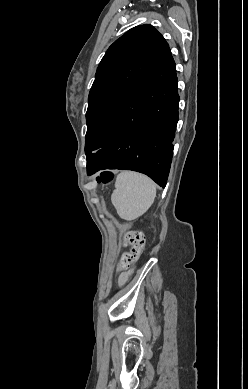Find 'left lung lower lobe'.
<instances>
[{
  "label": "left lung lower lobe",
  "mask_w": 248,
  "mask_h": 389,
  "mask_svg": "<svg viewBox=\"0 0 248 389\" xmlns=\"http://www.w3.org/2000/svg\"><path fill=\"white\" fill-rule=\"evenodd\" d=\"M176 66L170 48L99 119L107 144L87 160V173L125 169L165 187L178 122Z\"/></svg>",
  "instance_id": "left-lung-lower-lobe-1"
}]
</instances>
